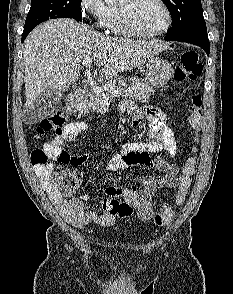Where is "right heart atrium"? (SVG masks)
I'll use <instances>...</instances> for the list:
<instances>
[{
    "mask_svg": "<svg viewBox=\"0 0 233 294\" xmlns=\"http://www.w3.org/2000/svg\"><path fill=\"white\" fill-rule=\"evenodd\" d=\"M80 12L90 23L98 28H106L109 6L104 0H80Z\"/></svg>",
    "mask_w": 233,
    "mask_h": 294,
    "instance_id": "1",
    "label": "right heart atrium"
}]
</instances>
